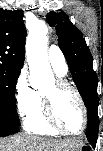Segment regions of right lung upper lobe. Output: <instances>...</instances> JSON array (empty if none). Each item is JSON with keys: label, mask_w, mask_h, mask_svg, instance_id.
<instances>
[{"label": "right lung upper lobe", "mask_w": 103, "mask_h": 151, "mask_svg": "<svg viewBox=\"0 0 103 151\" xmlns=\"http://www.w3.org/2000/svg\"><path fill=\"white\" fill-rule=\"evenodd\" d=\"M25 38L23 11L0 8V66L21 70L25 57Z\"/></svg>", "instance_id": "cb5924a9"}]
</instances>
